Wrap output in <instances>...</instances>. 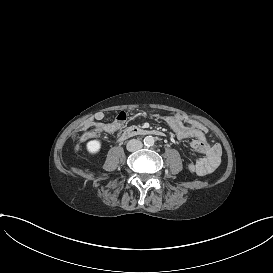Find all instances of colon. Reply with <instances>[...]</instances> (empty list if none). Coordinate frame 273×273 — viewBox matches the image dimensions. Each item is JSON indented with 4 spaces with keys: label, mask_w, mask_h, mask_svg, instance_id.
Segmentation results:
<instances>
[{
    "label": "colon",
    "mask_w": 273,
    "mask_h": 273,
    "mask_svg": "<svg viewBox=\"0 0 273 273\" xmlns=\"http://www.w3.org/2000/svg\"><path fill=\"white\" fill-rule=\"evenodd\" d=\"M96 124V119L95 118H89L88 120H87V125L88 126H93V125H95ZM80 131L81 132H86L87 131V126L86 125H81L80 126Z\"/></svg>",
    "instance_id": "colon-1"
}]
</instances>
